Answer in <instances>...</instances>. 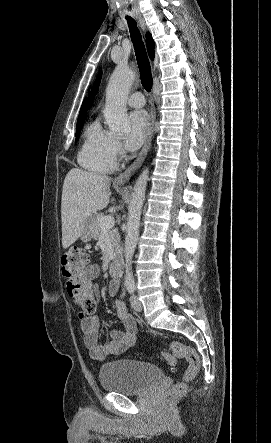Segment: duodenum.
I'll list each match as a JSON object with an SVG mask.
<instances>
[{"instance_id": "obj_1", "label": "duodenum", "mask_w": 271, "mask_h": 443, "mask_svg": "<svg viewBox=\"0 0 271 443\" xmlns=\"http://www.w3.org/2000/svg\"><path fill=\"white\" fill-rule=\"evenodd\" d=\"M110 274L113 277H119L121 275L122 271V264L119 259L112 260L110 267H109Z\"/></svg>"}]
</instances>
